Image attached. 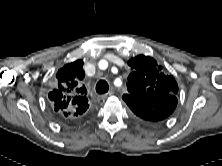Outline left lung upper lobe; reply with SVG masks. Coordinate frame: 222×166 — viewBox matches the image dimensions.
Here are the masks:
<instances>
[{"instance_id": "left-lung-upper-lobe-1", "label": "left lung upper lobe", "mask_w": 222, "mask_h": 166, "mask_svg": "<svg viewBox=\"0 0 222 166\" xmlns=\"http://www.w3.org/2000/svg\"><path fill=\"white\" fill-rule=\"evenodd\" d=\"M128 65L132 72L128 76V93L123 95V100L130 107L132 112L143 110L160 104V100L169 95L176 96L178 85L171 75L161 71L155 59L149 56L138 55L130 59ZM137 99H146L145 103L136 102ZM150 102L151 104H148ZM146 106V107H145Z\"/></svg>"}]
</instances>
